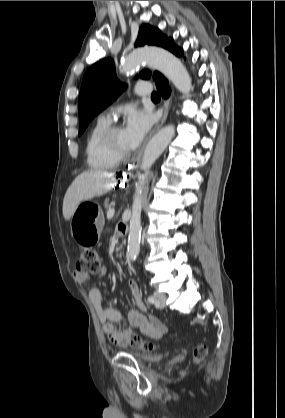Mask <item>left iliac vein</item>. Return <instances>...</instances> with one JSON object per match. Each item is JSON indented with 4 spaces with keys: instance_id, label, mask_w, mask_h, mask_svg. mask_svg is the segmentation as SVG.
<instances>
[{
    "instance_id": "left-iliac-vein-1",
    "label": "left iliac vein",
    "mask_w": 285,
    "mask_h": 418,
    "mask_svg": "<svg viewBox=\"0 0 285 418\" xmlns=\"http://www.w3.org/2000/svg\"><path fill=\"white\" fill-rule=\"evenodd\" d=\"M153 297L155 298V304L159 308H164L166 305V296L163 293L155 292L153 294Z\"/></svg>"
}]
</instances>
